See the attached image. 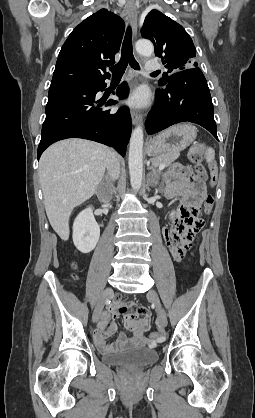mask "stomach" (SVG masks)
Returning a JSON list of instances; mask_svg holds the SVG:
<instances>
[{"label":"stomach","instance_id":"stomach-1","mask_svg":"<svg viewBox=\"0 0 255 418\" xmlns=\"http://www.w3.org/2000/svg\"><path fill=\"white\" fill-rule=\"evenodd\" d=\"M197 129L187 123L178 124L159 133L147 143L149 156L179 153L188 147L196 138Z\"/></svg>","mask_w":255,"mask_h":418}]
</instances>
